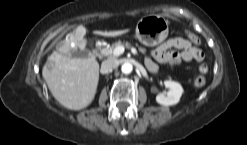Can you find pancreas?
I'll return each mask as SVG.
<instances>
[{
  "instance_id": "cf45deb5",
  "label": "pancreas",
  "mask_w": 247,
  "mask_h": 145,
  "mask_svg": "<svg viewBox=\"0 0 247 145\" xmlns=\"http://www.w3.org/2000/svg\"><path fill=\"white\" fill-rule=\"evenodd\" d=\"M118 46H123L125 48H130L131 45L128 43V42H125V43H122V42H116L114 43L113 45H111L110 47H105L101 50V53L104 55V56H108V57H114L115 55L113 54V51L116 47ZM139 51L142 52L143 54H145L146 52V49L145 48H142V47H139Z\"/></svg>"
}]
</instances>
